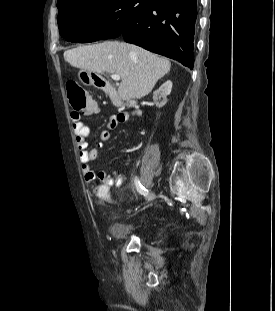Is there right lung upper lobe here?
<instances>
[{
  "instance_id": "right-lung-upper-lobe-1",
  "label": "right lung upper lobe",
  "mask_w": 275,
  "mask_h": 311,
  "mask_svg": "<svg viewBox=\"0 0 275 311\" xmlns=\"http://www.w3.org/2000/svg\"><path fill=\"white\" fill-rule=\"evenodd\" d=\"M67 1H71V0H57V6Z\"/></svg>"
}]
</instances>
